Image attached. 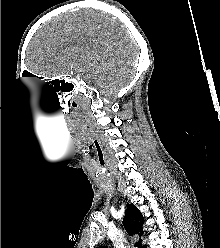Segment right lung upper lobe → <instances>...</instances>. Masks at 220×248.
I'll return each mask as SVG.
<instances>
[{"instance_id":"cb5924a9","label":"right lung upper lobe","mask_w":220,"mask_h":248,"mask_svg":"<svg viewBox=\"0 0 220 248\" xmlns=\"http://www.w3.org/2000/svg\"><path fill=\"white\" fill-rule=\"evenodd\" d=\"M143 223L144 219L141 212L133 204L127 206V211L123 219V226L127 233L132 236L138 234L140 237L143 235ZM137 248H145L146 245H142V239L135 244ZM104 248H107L105 246Z\"/></svg>"}]
</instances>
